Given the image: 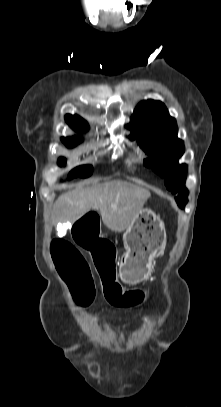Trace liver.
Wrapping results in <instances>:
<instances>
[{
	"label": "liver",
	"instance_id": "6515ba94",
	"mask_svg": "<svg viewBox=\"0 0 221 407\" xmlns=\"http://www.w3.org/2000/svg\"><path fill=\"white\" fill-rule=\"evenodd\" d=\"M150 196L148 190L123 181L78 188L57 199V218L74 223L96 207L107 228L122 232L137 218Z\"/></svg>",
	"mask_w": 221,
	"mask_h": 407
}]
</instances>
